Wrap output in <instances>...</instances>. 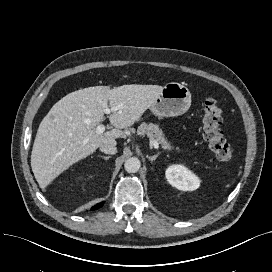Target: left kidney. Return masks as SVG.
<instances>
[{
    "mask_svg": "<svg viewBox=\"0 0 272 272\" xmlns=\"http://www.w3.org/2000/svg\"><path fill=\"white\" fill-rule=\"evenodd\" d=\"M165 176L170 185L181 191H194L200 186V179L184 165L169 166Z\"/></svg>",
    "mask_w": 272,
    "mask_h": 272,
    "instance_id": "1",
    "label": "left kidney"
}]
</instances>
